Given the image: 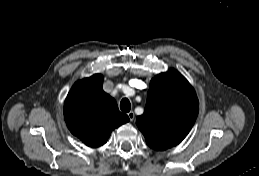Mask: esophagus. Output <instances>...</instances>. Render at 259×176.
<instances>
[{
  "instance_id": "obj_1",
  "label": "esophagus",
  "mask_w": 259,
  "mask_h": 176,
  "mask_svg": "<svg viewBox=\"0 0 259 176\" xmlns=\"http://www.w3.org/2000/svg\"><path fill=\"white\" fill-rule=\"evenodd\" d=\"M128 117H129L130 121H133L135 118L134 112L133 111L128 112Z\"/></svg>"
}]
</instances>
